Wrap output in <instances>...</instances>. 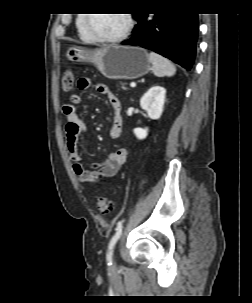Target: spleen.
<instances>
[{
    "mask_svg": "<svg viewBox=\"0 0 252 303\" xmlns=\"http://www.w3.org/2000/svg\"><path fill=\"white\" fill-rule=\"evenodd\" d=\"M149 61L152 64V72L157 77H171L176 72V67L168 59L161 55L151 52L148 55Z\"/></svg>",
    "mask_w": 252,
    "mask_h": 303,
    "instance_id": "spleen-1",
    "label": "spleen"
}]
</instances>
